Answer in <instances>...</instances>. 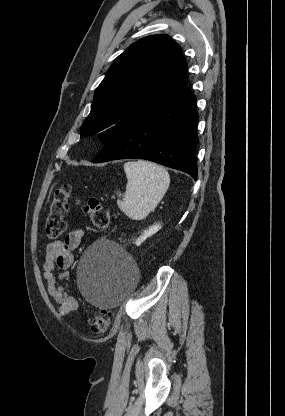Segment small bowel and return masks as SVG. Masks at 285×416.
I'll return each instance as SVG.
<instances>
[{"label": "small bowel", "instance_id": "obj_1", "mask_svg": "<svg viewBox=\"0 0 285 416\" xmlns=\"http://www.w3.org/2000/svg\"><path fill=\"white\" fill-rule=\"evenodd\" d=\"M84 230L76 229L69 232L63 240L47 244L43 277L47 283L48 295L58 305L60 317H66L78 310V301L69 294L68 286L61 284L69 276V268L73 264V252L80 245Z\"/></svg>", "mask_w": 285, "mask_h": 416}]
</instances>
